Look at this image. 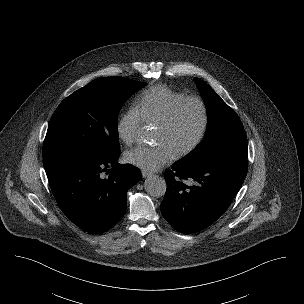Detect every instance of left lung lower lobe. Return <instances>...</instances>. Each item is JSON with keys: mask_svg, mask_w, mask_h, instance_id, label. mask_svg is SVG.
Here are the masks:
<instances>
[{"mask_svg": "<svg viewBox=\"0 0 304 304\" xmlns=\"http://www.w3.org/2000/svg\"><path fill=\"white\" fill-rule=\"evenodd\" d=\"M247 160H217L198 168L177 161L164 173L167 183L161 212L177 231L191 234L214 223L241 188ZM185 181H191L188 186Z\"/></svg>", "mask_w": 304, "mask_h": 304, "instance_id": "obj_1", "label": "left lung lower lobe"}]
</instances>
